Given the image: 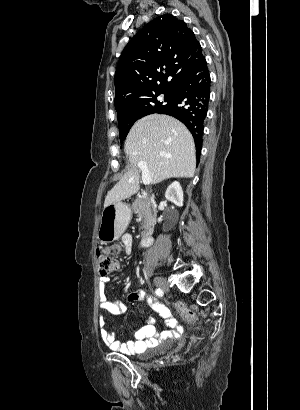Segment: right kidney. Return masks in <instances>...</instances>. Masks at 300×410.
<instances>
[{
	"instance_id": "ca27d5eb",
	"label": "right kidney",
	"mask_w": 300,
	"mask_h": 410,
	"mask_svg": "<svg viewBox=\"0 0 300 410\" xmlns=\"http://www.w3.org/2000/svg\"><path fill=\"white\" fill-rule=\"evenodd\" d=\"M165 198L178 207L183 206V191L179 182L174 181L168 186Z\"/></svg>"
}]
</instances>
